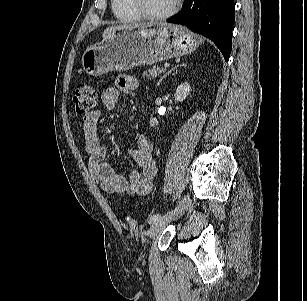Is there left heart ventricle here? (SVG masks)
Listing matches in <instances>:
<instances>
[{
  "label": "left heart ventricle",
  "mask_w": 307,
  "mask_h": 301,
  "mask_svg": "<svg viewBox=\"0 0 307 301\" xmlns=\"http://www.w3.org/2000/svg\"><path fill=\"white\" fill-rule=\"evenodd\" d=\"M144 8L153 14L166 12L172 6L173 0H142Z\"/></svg>",
  "instance_id": "left-heart-ventricle-1"
}]
</instances>
